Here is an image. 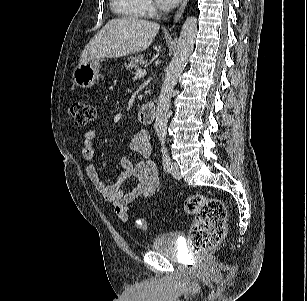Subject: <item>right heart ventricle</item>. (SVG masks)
Instances as JSON below:
<instances>
[{
    "label": "right heart ventricle",
    "instance_id": "obj_1",
    "mask_svg": "<svg viewBox=\"0 0 307 301\" xmlns=\"http://www.w3.org/2000/svg\"><path fill=\"white\" fill-rule=\"evenodd\" d=\"M112 7L126 17L143 19L146 16L145 0H112Z\"/></svg>",
    "mask_w": 307,
    "mask_h": 301
}]
</instances>
